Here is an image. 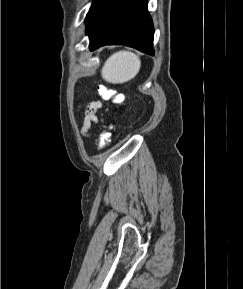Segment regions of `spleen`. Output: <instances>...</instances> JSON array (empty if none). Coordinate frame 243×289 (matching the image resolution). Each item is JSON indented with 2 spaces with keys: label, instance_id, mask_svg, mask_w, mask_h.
Here are the masks:
<instances>
[{
  "label": "spleen",
  "instance_id": "obj_1",
  "mask_svg": "<svg viewBox=\"0 0 243 289\" xmlns=\"http://www.w3.org/2000/svg\"><path fill=\"white\" fill-rule=\"evenodd\" d=\"M141 67L140 58L129 51H119L111 55L101 70L102 78L109 83H125L133 79Z\"/></svg>",
  "mask_w": 243,
  "mask_h": 289
}]
</instances>
